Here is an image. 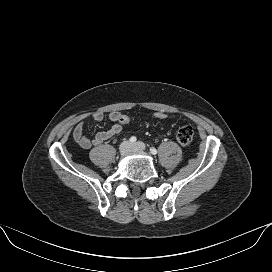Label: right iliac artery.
Listing matches in <instances>:
<instances>
[{"instance_id":"1","label":"right iliac artery","mask_w":272,"mask_h":272,"mask_svg":"<svg viewBox=\"0 0 272 272\" xmlns=\"http://www.w3.org/2000/svg\"><path fill=\"white\" fill-rule=\"evenodd\" d=\"M129 140L131 143H135L137 138L135 136H132Z\"/></svg>"}]
</instances>
